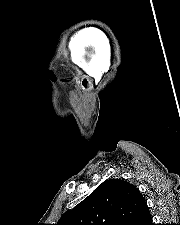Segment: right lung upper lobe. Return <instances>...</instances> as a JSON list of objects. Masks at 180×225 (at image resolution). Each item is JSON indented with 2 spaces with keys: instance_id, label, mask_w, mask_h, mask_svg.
<instances>
[{
  "instance_id": "1",
  "label": "right lung upper lobe",
  "mask_w": 180,
  "mask_h": 225,
  "mask_svg": "<svg viewBox=\"0 0 180 225\" xmlns=\"http://www.w3.org/2000/svg\"><path fill=\"white\" fill-rule=\"evenodd\" d=\"M57 225H152L140 191L127 181L106 180L66 212Z\"/></svg>"
}]
</instances>
